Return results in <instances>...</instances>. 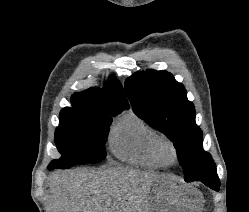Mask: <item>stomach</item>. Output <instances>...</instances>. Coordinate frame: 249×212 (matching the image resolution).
<instances>
[{
	"instance_id": "obj_1",
	"label": "stomach",
	"mask_w": 249,
	"mask_h": 212,
	"mask_svg": "<svg viewBox=\"0 0 249 212\" xmlns=\"http://www.w3.org/2000/svg\"><path fill=\"white\" fill-rule=\"evenodd\" d=\"M150 212H201L203 194L178 180V175H157L151 186Z\"/></svg>"
}]
</instances>
